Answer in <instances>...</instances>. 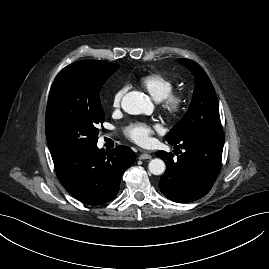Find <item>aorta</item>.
Instances as JSON below:
<instances>
[{
  "label": "aorta",
  "mask_w": 269,
  "mask_h": 269,
  "mask_svg": "<svg viewBox=\"0 0 269 269\" xmlns=\"http://www.w3.org/2000/svg\"><path fill=\"white\" fill-rule=\"evenodd\" d=\"M123 110L132 115L150 114L153 105L150 98L144 93L138 91H131L127 93L121 102ZM166 165L163 160L159 158L152 159L148 164V169L153 175H161L165 171Z\"/></svg>",
  "instance_id": "762f6f07"
}]
</instances>
